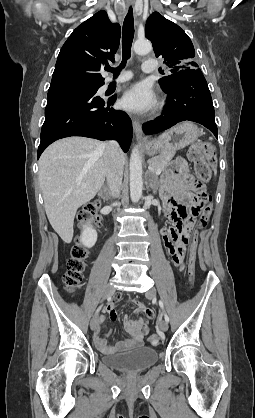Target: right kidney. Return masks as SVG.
I'll use <instances>...</instances> for the list:
<instances>
[{"instance_id": "ca27d5eb", "label": "right kidney", "mask_w": 255, "mask_h": 418, "mask_svg": "<svg viewBox=\"0 0 255 418\" xmlns=\"http://www.w3.org/2000/svg\"><path fill=\"white\" fill-rule=\"evenodd\" d=\"M97 241V232L95 229H93L92 226L90 225H84L83 226V232L81 234L80 237V242L88 247L91 248L92 246H94V244Z\"/></svg>"}]
</instances>
